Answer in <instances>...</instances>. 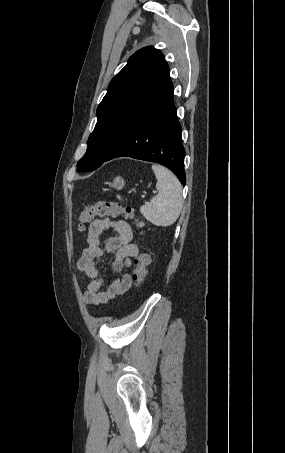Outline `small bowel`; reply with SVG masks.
I'll use <instances>...</instances> for the list:
<instances>
[{
    "mask_svg": "<svg viewBox=\"0 0 285 453\" xmlns=\"http://www.w3.org/2000/svg\"><path fill=\"white\" fill-rule=\"evenodd\" d=\"M107 229H112L115 234L108 238L102 247L100 236ZM133 237L131 226L123 220L111 221L105 218L91 222L88 227L87 245L77 261L78 271L87 279L84 293L86 304L93 306L105 304L130 288L131 276L128 268L132 265V259L139 253L137 245L132 243ZM105 253H114L112 268L118 276L103 289V279L97 261Z\"/></svg>",
    "mask_w": 285,
    "mask_h": 453,
    "instance_id": "1",
    "label": "small bowel"
}]
</instances>
